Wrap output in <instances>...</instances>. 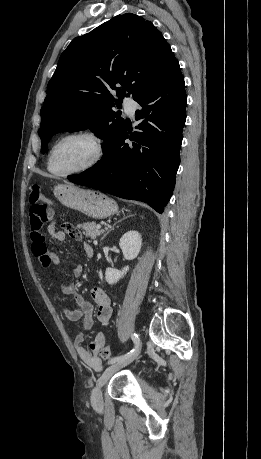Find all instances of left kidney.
Listing matches in <instances>:
<instances>
[{"label": "left kidney", "instance_id": "left-kidney-1", "mask_svg": "<svg viewBox=\"0 0 261 459\" xmlns=\"http://www.w3.org/2000/svg\"><path fill=\"white\" fill-rule=\"evenodd\" d=\"M119 246L126 260L136 258L141 250L142 238L137 231H128L120 239ZM129 270V266H125L122 270L107 268L105 271V279L109 284L117 283Z\"/></svg>", "mask_w": 261, "mask_h": 459}]
</instances>
